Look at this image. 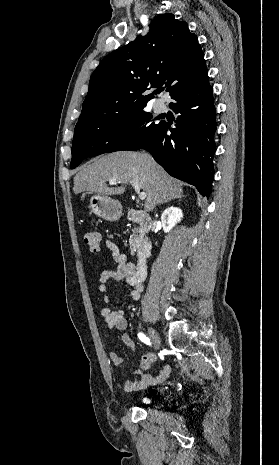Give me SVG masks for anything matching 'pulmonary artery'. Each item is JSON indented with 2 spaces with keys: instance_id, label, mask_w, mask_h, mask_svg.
I'll return each instance as SVG.
<instances>
[{
  "instance_id": "pulmonary-artery-1",
  "label": "pulmonary artery",
  "mask_w": 279,
  "mask_h": 465,
  "mask_svg": "<svg viewBox=\"0 0 279 465\" xmlns=\"http://www.w3.org/2000/svg\"><path fill=\"white\" fill-rule=\"evenodd\" d=\"M157 112H164L166 110V103L163 100H157L154 104Z\"/></svg>"
}]
</instances>
